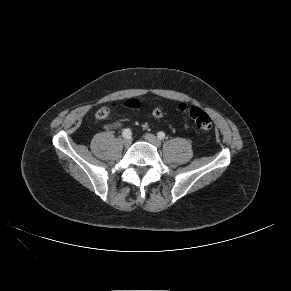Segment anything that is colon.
Instances as JSON below:
<instances>
[{
	"label": "colon",
	"mask_w": 291,
	"mask_h": 291,
	"mask_svg": "<svg viewBox=\"0 0 291 291\" xmlns=\"http://www.w3.org/2000/svg\"><path fill=\"white\" fill-rule=\"evenodd\" d=\"M126 106L129 108H138L140 103L137 100L131 99L126 102ZM179 111L187 114L194 122L196 128L203 132L208 133L212 128V120L210 116L201 108L196 106H186L185 104L178 105ZM110 112L109 107H102L96 113V119L101 121L108 117ZM152 115L156 120H159L163 116V109L156 107L152 111Z\"/></svg>",
	"instance_id": "1"
}]
</instances>
